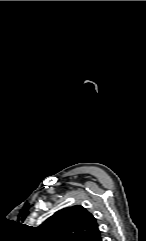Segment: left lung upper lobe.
Here are the masks:
<instances>
[{
    "label": "left lung upper lobe",
    "instance_id": "1",
    "mask_svg": "<svg viewBox=\"0 0 146 241\" xmlns=\"http://www.w3.org/2000/svg\"><path fill=\"white\" fill-rule=\"evenodd\" d=\"M37 229L43 241H88L99 232L96 219L80 205L57 211Z\"/></svg>",
    "mask_w": 146,
    "mask_h": 241
}]
</instances>
